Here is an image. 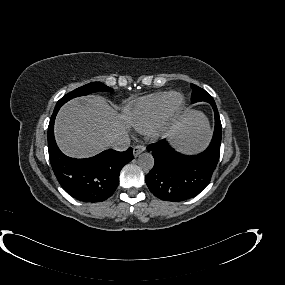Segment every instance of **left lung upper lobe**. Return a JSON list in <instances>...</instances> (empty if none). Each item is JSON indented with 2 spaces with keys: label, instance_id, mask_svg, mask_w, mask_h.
I'll use <instances>...</instances> for the list:
<instances>
[{
  "label": "left lung upper lobe",
  "instance_id": "5c2ea615",
  "mask_svg": "<svg viewBox=\"0 0 285 285\" xmlns=\"http://www.w3.org/2000/svg\"><path fill=\"white\" fill-rule=\"evenodd\" d=\"M191 88H192V95H191V102L192 103H196V102H200V101H205V102H211L214 101L212 96L207 93L204 89L191 84Z\"/></svg>",
  "mask_w": 285,
  "mask_h": 285
}]
</instances>
